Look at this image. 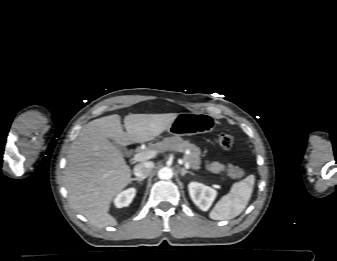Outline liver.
<instances>
[{
  "label": "liver",
  "instance_id": "6515ba94",
  "mask_svg": "<svg viewBox=\"0 0 337 261\" xmlns=\"http://www.w3.org/2000/svg\"><path fill=\"white\" fill-rule=\"evenodd\" d=\"M177 113L129 114L123 131L118 114L89 122L74 140L64 174V185L72 208L88 221L104 228L117 224L109 214L111 202L131 180V169L120 146L143 143L166 131Z\"/></svg>",
  "mask_w": 337,
  "mask_h": 261
}]
</instances>
